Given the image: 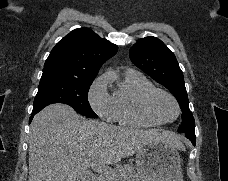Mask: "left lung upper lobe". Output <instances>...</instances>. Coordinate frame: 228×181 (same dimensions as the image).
I'll use <instances>...</instances> for the list:
<instances>
[{
    "label": "left lung upper lobe",
    "mask_w": 228,
    "mask_h": 181,
    "mask_svg": "<svg viewBox=\"0 0 228 181\" xmlns=\"http://www.w3.org/2000/svg\"><path fill=\"white\" fill-rule=\"evenodd\" d=\"M129 56L138 68L165 86L176 97L183 112L178 132L195 131L183 73L173 52L161 40L145 37L131 47Z\"/></svg>",
    "instance_id": "left-lung-upper-lobe-1"
}]
</instances>
